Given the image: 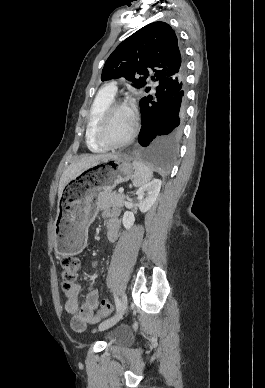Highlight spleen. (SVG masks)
Segmentation results:
<instances>
[{
	"label": "spleen",
	"mask_w": 265,
	"mask_h": 388,
	"mask_svg": "<svg viewBox=\"0 0 265 388\" xmlns=\"http://www.w3.org/2000/svg\"><path fill=\"white\" fill-rule=\"evenodd\" d=\"M133 168L135 172H134L132 182L135 188H139V186H143V184H147V182H149V180L153 178L152 170H150L148 166H145L144 162H136V160H134Z\"/></svg>",
	"instance_id": "spleen-1"
}]
</instances>
